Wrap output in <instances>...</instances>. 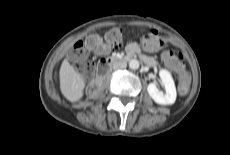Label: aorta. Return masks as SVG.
I'll return each mask as SVG.
<instances>
[{
	"instance_id": "1",
	"label": "aorta",
	"mask_w": 230,
	"mask_h": 155,
	"mask_svg": "<svg viewBox=\"0 0 230 155\" xmlns=\"http://www.w3.org/2000/svg\"><path fill=\"white\" fill-rule=\"evenodd\" d=\"M139 66H140V64H139L138 60L132 59V60L129 61V68L130 69L136 70V69L139 68Z\"/></svg>"
}]
</instances>
